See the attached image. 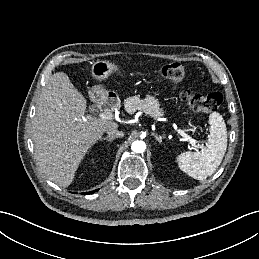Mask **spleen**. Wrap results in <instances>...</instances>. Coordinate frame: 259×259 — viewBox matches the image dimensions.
I'll list each match as a JSON object with an SVG mask.
<instances>
[{"mask_svg": "<svg viewBox=\"0 0 259 259\" xmlns=\"http://www.w3.org/2000/svg\"><path fill=\"white\" fill-rule=\"evenodd\" d=\"M209 124L206 146L198 152H183L176 158L183 172L200 181L216 171L227 149V129L223 117L213 112L209 116Z\"/></svg>", "mask_w": 259, "mask_h": 259, "instance_id": "3e777b00", "label": "spleen"}]
</instances>
